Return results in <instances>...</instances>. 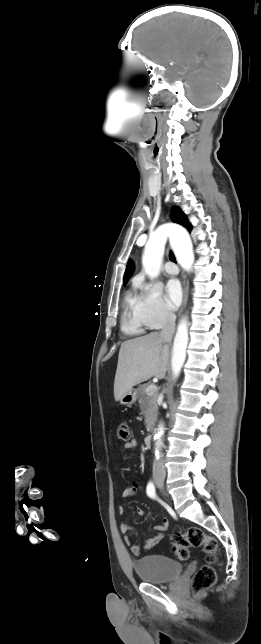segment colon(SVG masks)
I'll list each match as a JSON object with an SVG mask.
<instances>
[{
    "instance_id": "colon-1",
    "label": "colon",
    "mask_w": 261,
    "mask_h": 644,
    "mask_svg": "<svg viewBox=\"0 0 261 644\" xmlns=\"http://www.w3.org/2000/svg\"><path fill=\"white\" fill-rule=\"evenodd\" d=\"M118 438L129 440L130 429L127 423H121L118 427ZM172 550L180 560H187L189 547H202L207 555V564L202 566L192 579V589L199 594L213 586L216 582V572L212 564L216 560L218 548L217 540L205 534L198 527H191L184 533H174L171 536Z\"/></svg>"
}]
</instances>
